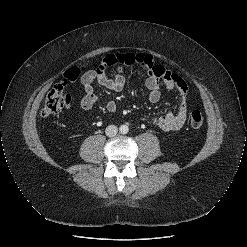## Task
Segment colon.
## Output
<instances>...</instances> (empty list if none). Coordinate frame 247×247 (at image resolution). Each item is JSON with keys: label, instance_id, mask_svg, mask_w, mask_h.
Masks as SVG:
<instances>
[{"label": "colon", "instance_id": "1", "mask_svg": "<svg viewBox=\"0 0 247 247\" xmlns=\"http://www.w3.org/2000/svg\"><path fill=\"white\" fill-rule=\"evenodd\" d=\"M79 71L75 68L68 71L66 78L68 81H74L78 77ZM74 100V96L68 92L67 84L65 82L55 85L47 94L43 107L41 109V116L50 117L61 113L68 109ZM203 115L199 110L191 112L189 117L190 125L193 128H199L203 124Z\"/></svg>", "mask_w": 247, "mask_h": 247}]
</instances>
